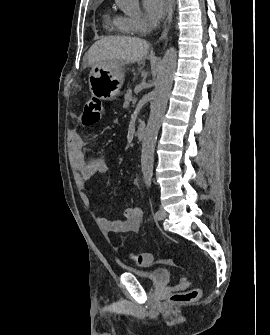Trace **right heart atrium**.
<instances>
[{
  "instance_id": "d8ad5b80",
  "label": "right heart atrium",
  "mask_w": 270,
  "mask_h": 335,
  "mask_svg": "<svg viewBox=\"0 0 270 335\" xmlns=\"http://www.w3.org/2000/svg\"><path fill=\"white\" fill-rule=\"evenodd\" d=\"M132 32L137 35H145L148 32L149 25L143 18H129Z\"/></svg>"
}]
</instances>
